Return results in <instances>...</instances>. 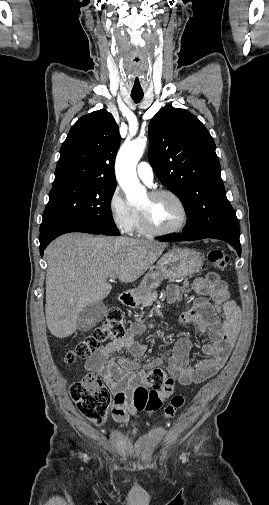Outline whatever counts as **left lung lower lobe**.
Returning a JSON list of instances; mask_svg holds the SVG:
<instances>
[{
  "label": "left lung lower lobe",
  "mask_w": 269,
  "mask_h": 505,
  "mask_svg": "<svg viewBox=\"0 0 269 505\" xmlns=\"http://www.w3.org/2000/svg\"><path fill=\"white\" fill-rule=\"evenodd\" d=\"M240 234L231 232V231H219V232H214L210 234H205V235H199V236H187L184 234H179L175 235L172 237H167L162 239V241L165 242H172V241H192V240H198V239H204V238H214V239H219L223 240L227 243H229L238 253V255H241V245L239 241Z\"/></svg>",
  "instance_id": "1"
}]
</instances>
